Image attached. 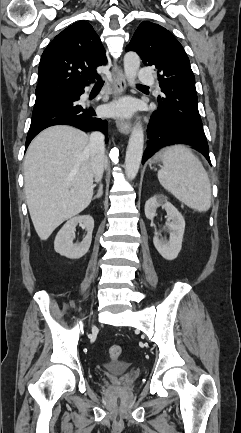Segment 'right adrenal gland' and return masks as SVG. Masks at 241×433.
Wrapping results in <instances>:
<instances>
[{
	"label": "right adrenal gland",
	"instance_id": "2a0ac1e0",
	"mask_svg": "<svg viewBox=\"0 0 241 433\" xmlns=\"http://www.w3.org/2000/svg\"><path fill=\"white\" fill-rule=\"evenodd\" d=\"M102 195H103V185L100 183L98 187V192L94 195L93 199L101 198Z\"/></svg>",
	"mask_w": 241,
	"mask_h": 433
}]
</instances>
